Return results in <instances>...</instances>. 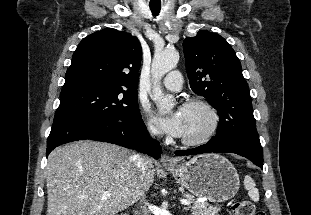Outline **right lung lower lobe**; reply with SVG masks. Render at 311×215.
Listing matches in <instances>:
<instances>
[{
  "instance_id": "right-lung-lower-lobe-1",
  "label": "right lung lower lobe",
  "mask_w": 311,
  "mask_h": 215,
  "mask_svg": "<svg viewBox=\"0 0 311 215\" xmlns=\"http://www.w3.org/2000/svg\"><path fill=\"white\" fill-rule=\"evenodd\" d=\"M90 139L136 149L156 159L161 147L155 139H149L141 115L130 121L68 118L55 121L47 140L46 155L62 144Z\"/></svg>"
}]
</instances>
